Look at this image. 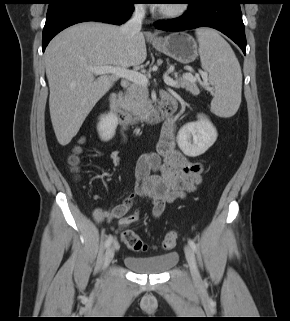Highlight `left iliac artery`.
Returning a JSON list of instances; mask_svg holds the SVG:
<instances>
[{"label":"left iliac artery","mask_w":290,"mask_h":321,"mask_svg":"<svg viewBox=\"0 0 290 321\" xmlns=\"http://www.w3.org/2000/svg\"><path fill=\"white\" fill-rule=\"evenodd\" d=\"M190 247L193 249V251L197 252V247H196V244L193 240L189 239L188 241Z\"/></svg>","instance_id":"44dca946"}]
</instances>
